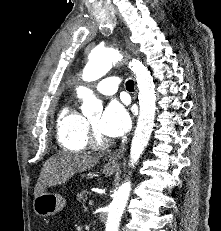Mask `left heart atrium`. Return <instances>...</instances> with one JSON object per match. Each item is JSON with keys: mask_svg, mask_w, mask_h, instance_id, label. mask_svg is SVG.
<instances>
[{"mask_svg": "<svg viewBox=\"0 0 221 231\" xmlns=\"http://www.w3.org/2000/svg\"><path fill=\"white\" fill-rule=\"evenodd\" d=\"M130 122V116L124 106L111 102L99 120L98 130L104 136L118 138L128 131Z\"/></svg>", "mask_w": 221, "mask_h": 231, "instance_id": "1", "label": "left heart atrium"}]
</instances>
